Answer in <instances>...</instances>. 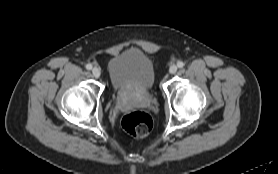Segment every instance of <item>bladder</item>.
<instances>
[{
  "label": "bladder",
  "mask_w": 278,
  "mask_h": 174,
  "mask_svg": "<svg viewBox=\"0 0 278 174\" xmlns=\"http://www.w3.org/2000/svg\"><path fill=\"white\" fill-rule=\"evenodd\" d=\"M108 73L114 93L123 97L148 96L155 74L151 60L140 50L129 48L112 57Z\"/></svg>",
  "instance_id": "1"
}]
</instances>
